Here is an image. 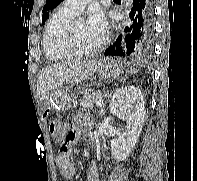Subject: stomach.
<instances>
[{"label": "stomach", "instance_id": "0dacf381", "mask_svg": "<svg viewBox=\"0 0 197 181\" xmlns=\"http://www.w3.org/2000/svg\"><path fill=\"white\" fill-rule=\"evenodd\" d=\"M97 66L93 75L101 80L117 78L122 70V65L115 60L105 59L96 62ZM73 94L68 87L62 86L52 92L47 99V105L56 112H66L72 105Z\"/></svg>", "mask_w": 197, "mask_h": 181}]
</instances>
